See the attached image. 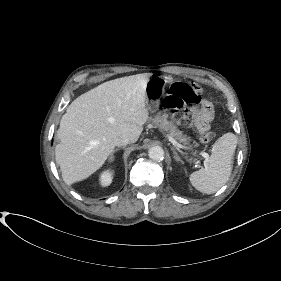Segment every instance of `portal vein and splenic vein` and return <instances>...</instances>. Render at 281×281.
Wrapping results in <instances>:
<instances>
[{
    "label": "portal vein and splenic vein",
    "instance_id": "obj_1",
    "mask_svg": "<svg viewBox=\"0 0 281 281\" xmlns=\"http://www.w3.org/2000/svg\"><path fill=\"white\" fill-rule=\"evenodd\" d=\"M166 137L168 138V140L173 144L174 147L176 148H181V149H188V147L186 146H183L182 144H180L179 142H177L174 138H172L170 135H166ZM200 155L202 157H204L206 160L209 159V155L208 153L204 152V151H201L200 152Z\"/></svg>",
    "mask_w": 281,
    "mask_h": 281
}]
</instances>
